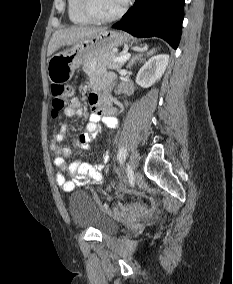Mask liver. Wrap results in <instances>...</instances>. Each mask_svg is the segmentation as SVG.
<instances>
[{
  "instance_id": "6515ba94",
  "label": "liver",
  "mask_w": 233,
  "mask_h": 284,
  "mask_svg": "<svg viewBox=\"0 0 233 284\" xmlns=\"http://www.w3.org/2000/svg\"><path fill=\"white\" fill-rule=\"evenodd\" d=\"M103 30L105 29L81 26H72L65 29H59L54 32L52 38L50 39L47 49V56L52 55L62 46L75 45L82 40L92 38Z\"/></svg>"
}]
</instances>
